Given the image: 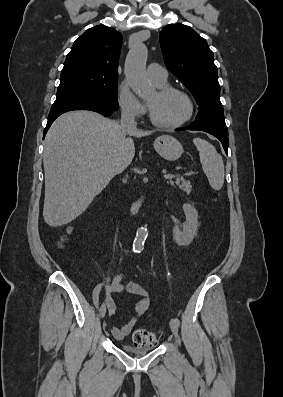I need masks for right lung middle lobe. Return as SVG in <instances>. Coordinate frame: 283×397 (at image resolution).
<instances>
[{"mask_svg":"<svg viewBox=\"0 0 283 397\" xmlns=\"http://www.w3.org/2000/svg\"><path fill=\"white\" fill-rule=\"evenodd\" d=\"M118 78L66 72L61 74L54 103L84 102L118 110Z\"/></svg>","mask_w":283,"mask_h":397,"instance_id":"obj_1","label":"right lung middle lobe"}]
</instances>
